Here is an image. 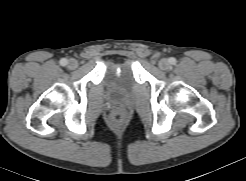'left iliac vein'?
I'll return each mask as SVG.
<instances>
[{
  "label": "left iliac vein",
  "instance_id": "obj_1",
  "mask_svg": "<svg viewBox=\"0 0 246 181\" xmlns=\"http://www.w3.org/2000/svg\"><path fill=\"white\" fill-rule=\"evenodd\" d=\"M158 66L161 70H167L170 68V63L167 59H161Z\"/></svg>",
  "mask_w": 246,
  "mask_h": 181
}]
</instances>
